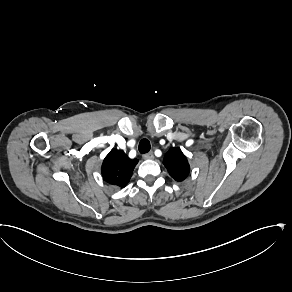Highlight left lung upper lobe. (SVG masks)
I'll use <instances>...</instances> for the list:
<instances>
[{"instance_id":"1","label":"left lung upper lobe","mask_w":292,"mask_h":292,"mask_svg":"<svg viewBox=\"0 0 292 292\" xmlns=\"http://www.w3.org/2000/svg\"><path fill=\"white\" fill-rule=\"evenodd\" d=\"M170 176L178 182L187 178L190 172V166L187 158L178 148H170L165 154L163 160Z\"/></svg>"}]
</instances>
